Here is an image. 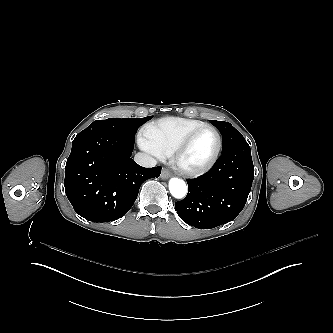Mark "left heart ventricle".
Wrapping results in <instances>:
<instances>
[{
	"label": "left heart ventricle",
	"instance_id": "1",
	"mask_svg": "<svg viewBox=\"0 0 333 333\" xmlns=\"http://www.w3.org/2000/svg\"><path fill=\"white\" fill-rule=\"evenodd\" d=\"M217 148V138L211 129L197 133L180 158V165L195 168L205 165L214 155Z\"/></svg>",
	"mask_w": 333,
	"mask_h": 333
}]
</instances>
